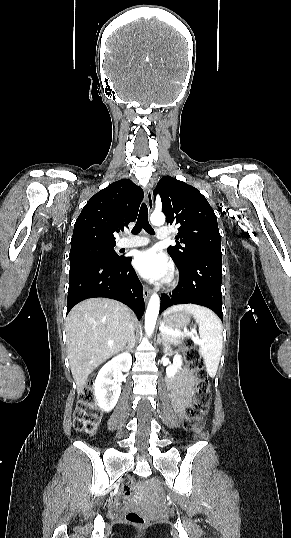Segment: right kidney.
<instances>
[{"label":"right kidney","mask_w":291,"mask_h":538,"mask_svg":"<svg viewBox=\"0 0 291 538\" xmlns=\"http://www.w3.org/2000/svg\"><path fill=\"white\" fill-rule=\"evenodd\" d=\"M131 365V355L122 353L113 357L99 371L94 383V392L97 403L103 411L109 412L116 406L121 394L122 372L129 371Z\"/></svg>","instance_id":"right-kidney-1"}]
</instances>
